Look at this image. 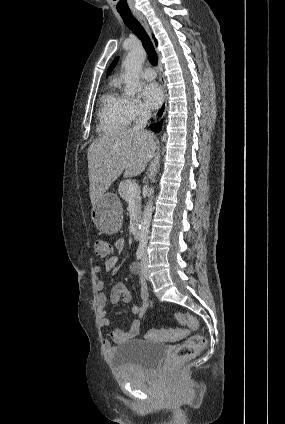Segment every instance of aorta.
<instances>
[{"mask_svg":"<svg viewBox=\"0 0 285 424\" xmlns=\"http://www.w3.org/2000/svg\"><path fill=\"white\" fill-rule=\"evenodd\" d=\"M145 58V49L143 47H137L133 48L123 61V66L125 69L124 79L126 83L125 94L128 96H134L141 88L140 72ZM153 193L154 189L151 187L148 195L149 201L144 207L143 217L141 221L139 242L140 247H145L148 242V235L153 212Z\"/></svg>","mask_w":285,"mask_h":424,"instance_id":"762f6f07","label":"aorta"}]
</instances>
